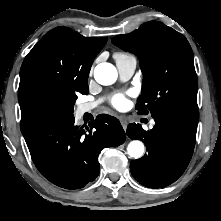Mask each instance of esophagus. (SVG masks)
<instances>
[{
	"mask_svg": "<svg viewBox=\"0 0 221 221\" xmlns=\"http://www.w3.org/2000/svg\"><path fill=\"white\" fill-rule=\"evenodd\" d=\"M121 124L124 130L127 129L128 122L125 119H121Z\"/></svg>",
	"mask_w": 221,
	"mask_h": 221,
	"instance_id": "esophagus-1",
	"label": "esophagus"
}]
</instances>
